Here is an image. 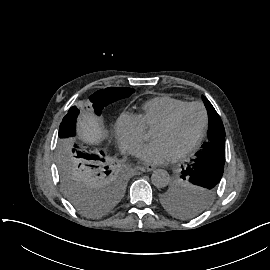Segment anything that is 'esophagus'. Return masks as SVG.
I'll use <instances>...</instances> for the list:
<instances>
[{"label":"esophagus","instance_id":"34e87169","mask_svg":"<svg viewBox=\"0 0 270 270\" xmlns=\"http://www.w3.org/2000/svg\"><path fill=\"white\" fill-rule=\"evenodd\" d=\"M140 170L142 172H150V171L154 170V166L151 164H148V165L140 167Z\"/></svg>","mask_w":270,"mask_h":270}]
</instances>
